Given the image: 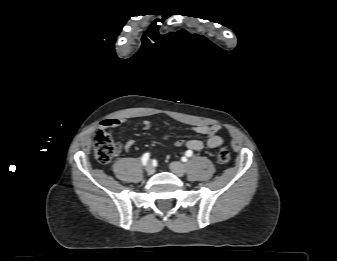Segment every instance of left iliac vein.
I'll list each match as a JSON object with an SVG mask.
<instances>
[{"instance_id":"left-iliac-vein-1","label":"left iliac vein","mask_w":337,"mask_h":261,"mask_svg":"<svg viewBox=\"0 0 337 261\" xmlns=\"http://www.w3.org/2000/svg\"><path fill=\"white\" fill-rule=\"evenodd\" d=\"M170 170L179 177L185 174V166L180 162H171L169 165Z\"/></svg>"}]
</instances>
